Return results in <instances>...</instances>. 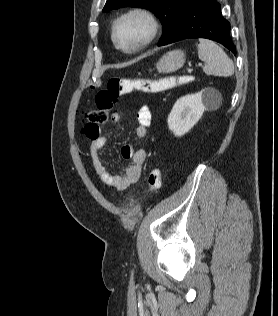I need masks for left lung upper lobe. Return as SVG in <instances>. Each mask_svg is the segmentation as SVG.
Instances as JSON below:
<instances>
[{
  "mask_svg": "<svg viewBox=\"0 0 278 316\" xmlns=\"http://www.w3.org/2000/svg\"><path fill=\"white\" fill-rule=\"evenodd\" d=\"M188 0H107L103 12L124 6L143 7L151 10L163 24V34L158 42L161 45L172 34Z\"/></svg>",
  "mask_w": 278,
  "mask_h": 316,
  "instance_id": "obj_1",
  "label": "left lung upper lobe"
}]
</instances>
